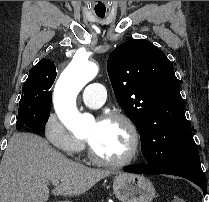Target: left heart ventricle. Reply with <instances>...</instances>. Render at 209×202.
Listing matches in <instances>:
<instances>
[{
    "label": "left heart ventricle",
    "mask_w": 209,
    "mask_h": 202,
    "mask_svg": "<svg viewBox=\"0 0 209 202\" xmlns=\"http://www.w3.org/2000/svg\"><path fill=\"white\" fill-rule=\"evenodd\" d=\"M102 157L109 160H120L126 157L132 141L127 127L119 121H95L86 136Z\"/></svg>",
    "instance_id": "obj_1"
}]
</instances>
